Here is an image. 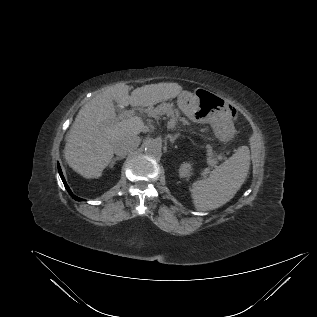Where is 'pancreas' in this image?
<instances>
[{"label":"pancreas","instance_id":"pancreas-1","mask_svg":"<svg viewBox=\"0 0 317 317\" xmlns=\"http://www.w3.org/2000/svg\"><path fill=\"white\" fill-rule=\"evenodd\" d=\"M146 113L154 118H158L159 116L166 114L174 121L180 120L183 122L184 125L189 124V122L185 120V118L180 117L178 109L173 108V106L169 103H162L155 108L149 107L148 109H146ZM207 156V162L209 166H215L218 160L222 159V156L216 155L210 146L207 147Z\"/></svg>","mask_w":317,"mask_h":317}]
</instances>
